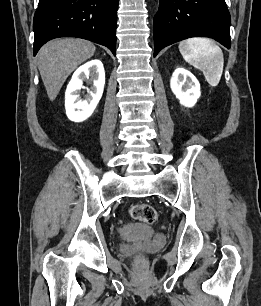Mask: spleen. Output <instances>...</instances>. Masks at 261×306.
I'll list each match as a JSON object with an SVG mask.
<instances>
[{
  "mask_svg": "<svg viewBox=\"0 0 261 306\" xmlns=\"http://www.w3.org/2000/svg\"><path fill=\"white\" fill-rule=\"evenodd\" d=\"M179 51L186 62L201 70L212 87L219 84L224 66L223 52L212 40L189 38L179 43Z\"/></svg>",
  "mask_w": 261,
  "mask_h": 306,
  "instance_id": "obj_1",
  "label": "spleen"
}]
</instances>
